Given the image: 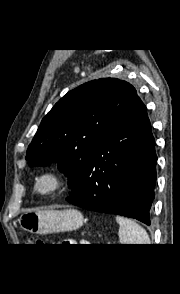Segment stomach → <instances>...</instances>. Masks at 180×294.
<instances>
[{"label": "stomach", "instance_id": "obj_1", "mask_svg": "<svg viewBox=\"0 0 180 294\" xmlns=\"http://www.w3.org/2000/svg\"><path fill=\"white\" fill-rule=\"evenodd\" d=\"M83 221L82 213L75 209L32 211L18 218L22 229L42 235L76 230Z\"/></svg>", "mask_w": 180, "mask_h": 294}]
</instances>
